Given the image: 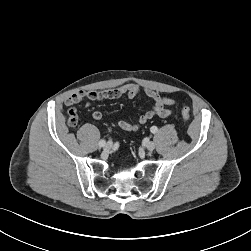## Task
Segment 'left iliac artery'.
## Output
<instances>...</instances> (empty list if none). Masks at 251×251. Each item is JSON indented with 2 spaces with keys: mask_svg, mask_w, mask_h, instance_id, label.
<instances>
[{
  "mask_svg": "<svg viewBox=\"0 0 251 251\" xmlns=\"http://www.w3.org/2000/svg\"><path fill=\"white\" fill-rule=\"evenodd\" d=\"M150 131H151L153 134H155V133H157L158 128H157L156 126H152V127L150 128Z\"/></svg>",
  "mask_w": 251,
  "mask_h": 251,
  "instance_id": "obj_1",
  "label": "left iliac artery"
}]
</instances>
